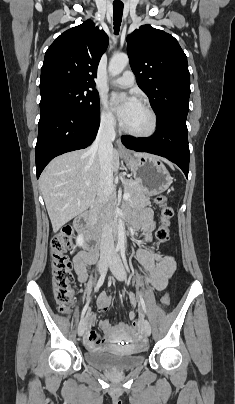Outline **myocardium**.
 <instances>
[{
  "mask_svg": "<svg viewBox=\"0 0 235 404\" xmlns=\"http://www.w3.org/2000/svg\"><path fill=\"white\" fill-rule=\"evenodd\" d=\"M139 105H141L148 113L149 118H150V124L149 127L146 131H142V132H138V131H133L130 130L129 128H127L124 123L122 124V131L127 134L128 136H131L133 138H137V139H146V138H150L152 137L156 131H157V127H158V119H157V115L154 111V109L151 107L150 104H148L145 101H140Z\"/></svg>",
  "mask_w": 235,
  "mask_h": 404,
  "instance_id": "obj_1",
  "label": "myocardium"
}]
</instances>
